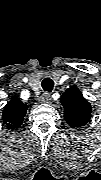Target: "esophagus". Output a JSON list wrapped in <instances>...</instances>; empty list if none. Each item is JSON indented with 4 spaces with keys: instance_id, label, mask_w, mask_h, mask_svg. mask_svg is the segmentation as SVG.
<instances>
[{
    "instance_id": "1",
    "label": "esophagus",
    "mask_w": 101,
    "mask_h": 180,
    "mask_svg": "<svg viewBox=\"0 0 101 180\" xmlns=\"http://www.w3.org/2000/svg\"><path fill=\"white\" fill-rule=\"evenodd\" d=\"M40 102L41 103H50L51 101V96L48 92L42 94V96L40 97Z\"/></svg>"
}]
</instances>
